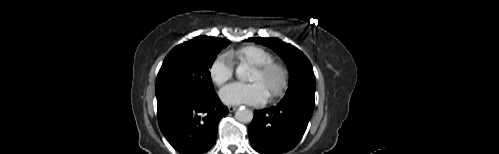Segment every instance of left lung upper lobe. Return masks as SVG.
<instances>
[{
  "instance_id": "5c2ea615",
  "label": "left lung upper lobe",
  "mask_w": 499,
  "mask_h": 154,
  "mask_svg": "<svg viewBox=\"0 0 499 154\" xmlns=\"http://www.w3.org/2000/svg\"><path fill=\"white\" fill-rule=\"evenodd\" d=\"M248 41L268 46L284 60L290 73L289 88L286 94L303 90L315 92L316 79L313 67L299 49L278 38H249Z\"/></svg>"
}]
</instances>
